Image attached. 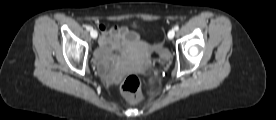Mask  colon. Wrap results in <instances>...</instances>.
Wrapping results in <instances>:
<instances>
[{"label": "colon", "instance_id": "obj_1", "mask_svg": "<svg viewBox=\"0 0 276 120\" xmlns=\"http://www.w3.org/2000/svg\"><path fill=\"white\" fill-rule=\"evenodd\" d=\"M121 90L131 102H142L143 97L140 94V81L136 75L127 76L121 85Z\"/></svg>", "mask_w": 276, "mask_h": 120}]
</instances>
